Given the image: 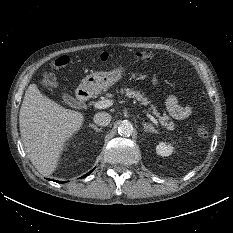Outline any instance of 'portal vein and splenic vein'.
I'll return each instance as SVG.
<instances>
[{"mask_svg":"<svg viewBox=\"0 0 233 233\" xmlns=\"http://www.w3.org/2000/svg\"><path fill=\"white\" fill-rule=\"evenodd\" d=\"M114 101L113 100H102L94 103V107L97 109H105L108 107H111L113 105ZM147 116L150 118V120L158 125V121L150 114L147 113Z\"/></svg>","mask_w":233,"mask_h":233,"instance_id":"portal-vein-and-splenic-vein-1","label":"portal vein and splenic vein"}]
</instances>
